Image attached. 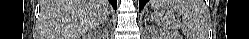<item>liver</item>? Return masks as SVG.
I'll return each instance as SVG.
<instances>
[{"instance_id":"liver-1","label":"liver","mask_w":249,"mask_h":39,"mask_svg":"<svg viewBox=\"0 0 249 39\" xmlns=\"http://www.w3.org/2000/svg\"><path fill=\"white\" fill-rule=\"evenodd\" d=\"M107 0H40L42 39H89L110 14Z\"/></svg>"}]
</instances>
